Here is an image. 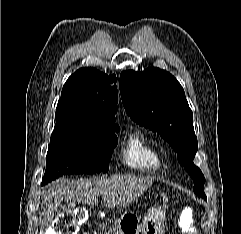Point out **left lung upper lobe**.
<instances>
[{
    "label": "left lung upper lobe",
    "instance_id": "1",
    "mask_svg": "<svg viewBox=\"0 0 241 234\" xmlns=\"http://www.w3.org/2000/svg\"><path fill=\"white\" fill-rule=\"evenodd\" d=\"M119 87L130 118L169 142L194 180L195 194L206 200L205 178L193 163L198 149L193 113L180 83L167 71L152 67L143 72L123 71Z\"/></svg>",
    "mask_w": 241,
    "mask_h": 234
}]
</instances>
